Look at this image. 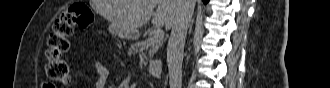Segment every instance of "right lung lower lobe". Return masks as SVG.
<instances>
[{
	"label": "right lung lower lobe",
	"mask_w": 330,
	"mask_h": 88,
	"mask_svg": "<svg viewBox=\"0 0 330 88\" xmlns=\"http://www.w3.org/2000/svg\"><path fill=\"white\" fill-rule=\"evenodd\" d=\"M204 3H208L209 0H202Z\"/></svg>",
	"instance_id": "right-lung-lower-lobe-1"
}]
</instances>
